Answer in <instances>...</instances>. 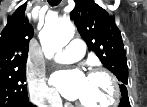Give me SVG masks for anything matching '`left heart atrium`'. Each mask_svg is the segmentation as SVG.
Returning <instances> with one entry per match:
<instances>
[{
	"mask_svg": "<svg viewBox=\"0 0 147 107\" xmlns=\"http://www.w3.org/2000/svg\"><path fill=\"white\" fill-rule=\"evenodd\" d=\"M51 81L65 98L76 100L83 93L86 76L78 70L59 72Z\"/></svg>",
	"mask_w": 147,
	"mask_h": 107,
	"instance_id": "obj_1",
	"label": "left heart atrium"
}]
</instances>
